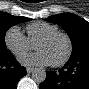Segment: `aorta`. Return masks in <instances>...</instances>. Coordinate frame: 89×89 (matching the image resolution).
<instances>
[{
	"mask_svg": "<svg viewBox=\"0 0 89 89\" xmlns=\"http://www.w3.org/2000/svg\"><path fill=\"white\" fill-rule=\"evenodd\" d=\"M31 78L36 83H42L46 79V71L42 68H35L32 71Z\"/></svg>",
	"mask_w": 89,
	"mask_h": 89,
	"instance_id": "762f6f07",
	"label": "aorta"
}]
</instances>
